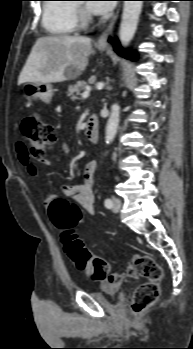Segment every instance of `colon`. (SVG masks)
<instances>
[{
	"label": "colon",
	"instance_id": "5ec220e1",
	"mask_svg": "<svg viewBox=\"0 0 193 349\" xmlns=\"http://www.w3.org/2000/svg\"><path fill=\"white\" fill-rule=\"evenodd\" d=\"M21 131L22 144L29 158L42 159L56 143L54 127L38 113H30L23 119ZM49 217L60 232L64 250L76 268L93 281L105 280L111 270L109 262L90 252L77 235L76 227L81 217L79 207L64 198H57L49 205ZM132 263L137 274L146 280L137 288L132 300L133 311L140 313L158 300L163 271L149 255L135 254Z\"/></svg>",
	"mask_w": 193,
	"mask_h": 349
}]
</instances>
